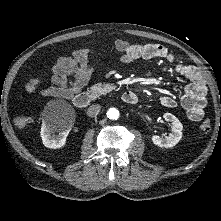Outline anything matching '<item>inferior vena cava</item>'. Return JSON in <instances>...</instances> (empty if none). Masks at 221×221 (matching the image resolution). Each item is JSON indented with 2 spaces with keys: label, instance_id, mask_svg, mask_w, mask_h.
<instances>
[{
  "label": "inferior vena cava",
  "instance_id": "obj_1",
  "mask_svg": "<svg viewBox=\"0 0 221 221\" xmlns=\"http://www.w3.org/2000/svg\"><path fill=\"white\" fill-rule=\"evenodd\" d=\"M100 110H101L100 105H98V104L91 105L87 110V115L89 117H96L99 114Z\"/></svg>",
  "mask_w": 221,
  "mask_h": 221
}]
</instances>
